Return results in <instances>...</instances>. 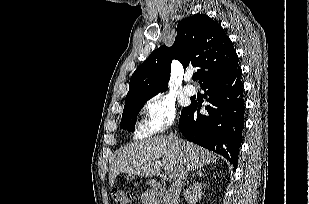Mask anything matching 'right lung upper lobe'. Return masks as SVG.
Instances as JSON below:
<instances>
[{"mask_svg": "<svg viewBox=\"0 0 309 204\" xmlns=\"http://www.w3.org/2000/svg\"><path fill=\"white\" fill-rule=\"evenodd\" d=\"M172 59L179 60L184 68L197 67L202 84L238 65L232 41L220 24L205 14H196L178 23L171 47L161 46L136 69L125 101L166 91Z\"/></svg>", "mask_w": 309, "mask_h": 204, "instance_id": "right-lung-upper-lobe-1", "label": "right lung upper lobe"}]
</instances>
